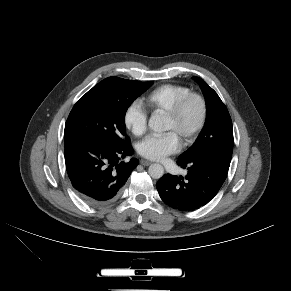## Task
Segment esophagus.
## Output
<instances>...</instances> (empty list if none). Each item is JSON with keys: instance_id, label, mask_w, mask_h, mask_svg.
<instances>
[{"instance_id": "obj_1", "label": "esophagus", "mask_w": 291, "mask_h": 291, "mask_svg": "<svg viewBox=\"0 0 291 291\" xmlns=\"http://www.w3.org/2000/svg\"><path fill=\"white\" fill-rule=\"evenodd\" d=\"M140 164L143 166H149L151 164V162L148 160L141 159Z\"/></svg>"}]
</instances>
